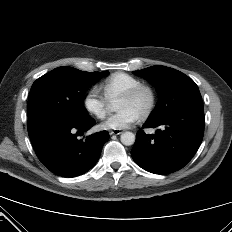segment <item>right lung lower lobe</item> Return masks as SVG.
Listing matches in <instances>:
<instances>
[{
    "instance_id": "right-lung-lower-lobe-1",
    "label": "right lung lower lobe",
    "mask_w": 232,
    "mask_h": 232,
    "mask_svg": "<svg viewBox=\"0 0 232 232\" xmlns=\"http://www.w3.org/2000/svg\"><path fill=\"white\" fill-rule=\"evenodd\" d=\"M94 124L90 117L75 119L41 113L29 117L28 134L39 160L47 169L62 177H75L96 164L109 139L107 131L84 140L77 138L78 133L89 130Z\"/></svg>"
}]
</instances>
